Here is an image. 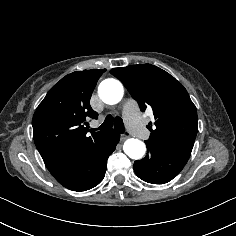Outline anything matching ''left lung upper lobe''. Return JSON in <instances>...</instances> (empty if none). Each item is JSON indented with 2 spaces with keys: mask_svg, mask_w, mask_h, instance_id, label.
Returning <instances> with one entry per match:
<instances>
[{
  "mask_svg": "<svg viewBox=\"0 0 236 236\" xmlns=\"http://www.w3.org/2000/svg\"><path fill=\"white\" fill-rule=\"evenodd\" d=\"M142 111L153 109L155 123L147 126L148 143L161 144L190 155L197 134V111L183 85L157 66L139 64L111 69Z\"/></svg>",
  "mask_w": 236,
  "mask_h": 236,
  "instance_id": "1",
  "label": "left lung upper lobe"
}]
</instances>
